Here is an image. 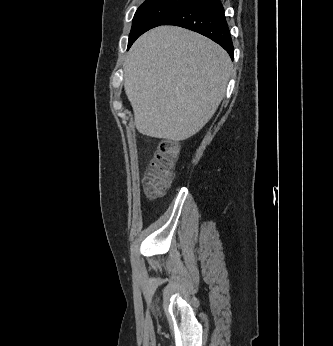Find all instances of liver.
<instances>
[{
    "label": "liver",
    "instance_id": "liver-1",
    "mask_svg": "<svg viewBox=\"0 0 333 346\" xmlns=\"http://www.w3.org/2000/svg\"><path fill=\"white\" fill-rule=\"evenodd\" d=\"M231 72L227 52L198 33L175 26L146 32L124 63L136 129L154 138H190L216 112Z\"/></svg>",
    "mask_w": 333,
    "mask_h": 346
}]
</instances>
